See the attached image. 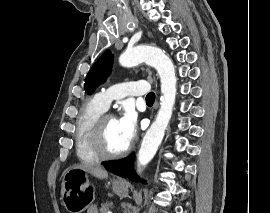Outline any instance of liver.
<instances>
[{
    "label": "liver",
    "mask_w": 270,
    "mask_h": 213,
    "mask_svg": "<svg viewBox=\"0 0 270 213\" xmlns=\"http://www.w3.org/2000/svg\"><path fill=\"white\" fill-rule=\"evenodd\" d=\"M73 168L81 169L99 179H104L108 177V172L98 165L95 166V165H90V164H80V165L74 166Z\"/></svg>",
    "instance_id": "liver-1"
}]
</instances>
